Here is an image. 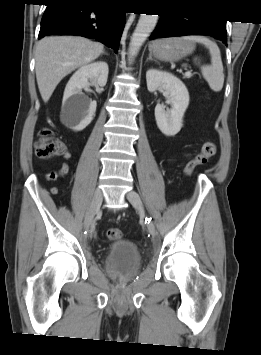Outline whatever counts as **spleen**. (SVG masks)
<instances>
[{
  "label": "spleen",
  "mask_w": 261,
  "mask_h": 355,
  "mask_svg": "<svg viewBox=\"0 0 261 355\" xmlns=\"http://www.w3.org/2000/svg\"><path fill=\"white\" fill-rule=\"evenodd\" d=\"M183 39L201 43L209 50L211 64L201 66V73L213 91H221L224 83V73L217 44L204 36H184Z\"/></svg>",
  "instance_id": "3e777b00"
}]
</instances>
